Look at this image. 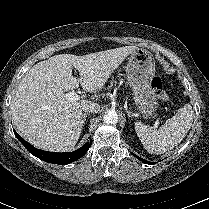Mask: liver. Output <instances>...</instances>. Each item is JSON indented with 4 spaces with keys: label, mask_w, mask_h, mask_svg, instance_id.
<instances>
[{
    "label": "liver",
    "mask_w": 209,
    "mask_h": 209,
    "mask_svg": "<svg viewBox=\"0 0 209 209\" xmlns=\"http://www.w3.org/2000/svg\"><path fill=\"white\" fill-rule=\"evenodd\" d=\"M135 46H124L76 56L60 54L35 64L22 78L11 101L12 121L20 135L46 151L72 150L82 131V107L87 100L70 102L64 92L82 86L101 90L111 73ZM75 68L80 77L72 75Z\"/></svg>",
    "instance_id": "liver-1"
}]
</instances>
